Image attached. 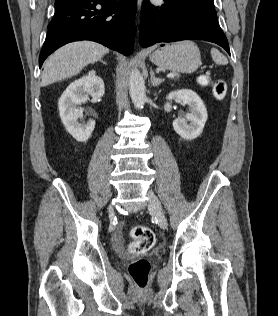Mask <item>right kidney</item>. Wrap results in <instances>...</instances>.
I'll return each mask as SVG.
<instances>
[{"label": "right kidney", "instance_id": "1", "mask_svg": "<svg viewBox=\"0 0 278 316\" xmlns=\"http://www.w3.org/2000/svg\"><path fill=\"white\" fill-rule=\"evenodd\" d=\"M105 87L101 77L96 75L94 70L87 75L72 82L61 95L58 101L60 118L66 130L79 142L87 141L95 127V121L90 120L86 124L79 123L83 110L76 107L84 103L88 95L101 98L104 95Z\"/></svg>", "mask_w": 278, "mask_h": 316}]
</instances>
